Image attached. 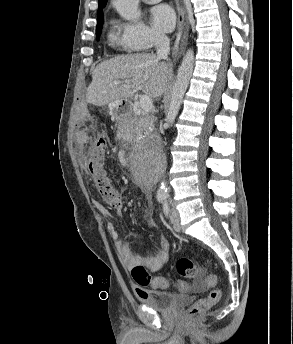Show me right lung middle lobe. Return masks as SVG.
<instances>
[{
    "label": "right lung middle lobe",
    "instance_id": "dd1d6c3e",
    "mask_svg": "<svg viewBox=\"0 0 293 344\" xmlns=\"http://www.w3.org/2000/svg\"><path fill=\"white\" fill-rule=\"evenodd\" d=\"M102 26H103V13H101L99 18H97V26H96V36H97V38H99V36H100Z\"/></svg>",
    "mask_w": 293,
    "mask_h": 344
}]
</instances>
